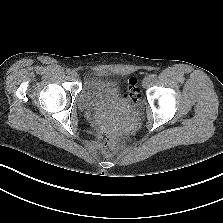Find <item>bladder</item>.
Here are the masks:
<instances>
[{
	"mask_svg": "<svg viewBox=\"0 0 223 223\" xmlns=\"http://www.w3.org/2000/svg\"><path fill=\"white\" fill-rule=\"evenodd\" d=\"M129 103L122 95L116 80L102 73L90 75L78 96V104L83 109L97 108L105 104L127 106Z\"/></svg>",
	"mask_w": 223,
	"mask_h": 223,
	"instance_id": "bladder-1",
	"label": "bladder"
}]
</instances>
